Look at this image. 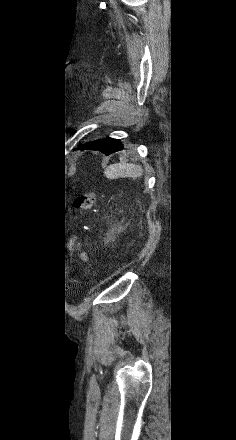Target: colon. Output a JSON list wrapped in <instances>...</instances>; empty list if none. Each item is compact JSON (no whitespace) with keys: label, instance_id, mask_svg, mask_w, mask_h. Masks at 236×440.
<instances>
[{"label":"colon","instance_id":"colon-1","mask_svg":"<svg viewBox=\"0 0 236 440\" xmlns=\"http://www.w3.org/2000/svg\"><path fill=\"white\" fill-rule=\"evenodd\" d=\"M95 201V195L92 192H86L78 195L75 198L74 205L76 209H78L81 212H88L91 210L93 204ZM62 275L56 274L55 279L53 278L51 281L54 283L55 281H61Z\"/></svg>","mask_w":236,"mask_h":440}]
</instances>
